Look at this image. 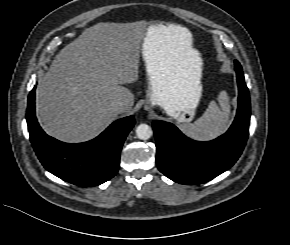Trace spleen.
Returning <instances> with one entry per match:
<instances>
[{"instance_id":"3e777b00","label":"spleen","mask_w":290,"mask_h":245,"mask_svg":"<svg viewBox=\"0 0 290 245\" xmlns=\"http://www.w3.org/2000/svg\"><path fill=\"white\" fill-rule=\"evenodd\" d=\"M219 105L215 101L209 103L204 114L194 123L183 124V132L196 140H210L226 131L229 123L230 105L226 91L218 95Z\"/></svg>"}]
</instances>
